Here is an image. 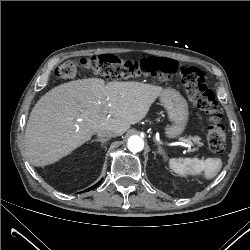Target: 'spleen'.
I'll list each match as a JSON object with an SVG mask.
<instances>
[{
	"label": "spleen",
	"mask_w": 250,
	"mask_h": 250,
	"mask_svg": "<svg viewBox=\"0 0 250 250\" xmlns=\"http://www.w3.org/2000/svg\"><path fill=\"white\" fill-rule=\"evenodd\" d=\"M222 160L220 158H209L200 160L198 158H171L169 160L170 169L178 174H201L207 179L214 178L222 168Z\"/></svg>",
	"instance_id": "1"
}]
</instances>
